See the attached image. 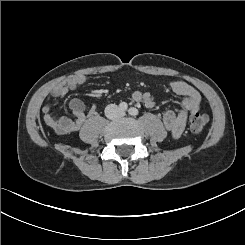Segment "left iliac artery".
<instances>
[{"mask_svg": "<svg viewBox=\"0 0 245 245\" xmlns=\"http://www.w3.org/2000/svg\"><path fill=\"white\" fill-rule=\"evenodd\" d=\"M128 113H129L131 116H136V115H138L139 111H138L137 108L131 107V108L128 110Z\"/></svg>", "mask_w": 245, "mask_h": 245, "instance_id": "44dca946", "label": "left iliac artery"}]
</instances>
